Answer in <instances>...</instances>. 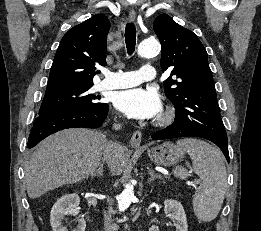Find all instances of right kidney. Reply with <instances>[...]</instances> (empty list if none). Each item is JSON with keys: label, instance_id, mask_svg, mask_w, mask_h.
<instances>
[{"label": "right kidney", "instance_id": "1", "mask_svg": "<svg viewBox=\"0 0 261 231\" xmlns=\"http://www.w3.org/2000/svg\"><path fill=\"white\" fill-rule=\"evenodd\" d=\"M80 198L77 194H66L56 201L50 214V224L53 231H68L62 225L65 215H77L79 213ZM78 225L73 231H85L86 222L84 218L77 219Z\"/></svg>", "mask_w": 261, "mask_h": 231}]
</instances>
